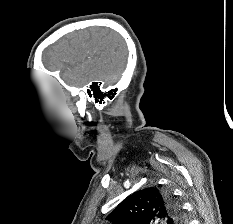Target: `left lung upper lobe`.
Instances as JSON below:
<instances>
[{"instance_id":"obj_1","label":"left lung upper lobe","mask_w":233,"mask_h":224,"mask_svg":"<svg viewBox=\"0 0 233 224\" xmlns=\"http://www.w3.org/2000/svg\"><path fill=\"white\" fill-rule=\"evenodd\" d=\"M156 217L167 224L183 222L180 206L173 196L151 187L128 196L106 219L113 224H149Z\"/></svg>"}]
</instances>
